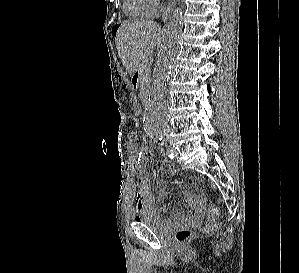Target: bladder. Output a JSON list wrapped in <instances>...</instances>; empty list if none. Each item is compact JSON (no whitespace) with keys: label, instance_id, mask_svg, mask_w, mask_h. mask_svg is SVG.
Returning <instances> with one entry per match:
<instances>
[{"label":"bladder","instance_id":"1","mask_svg":"<svg viewBox=\"0 0 299 273\" xmlns=\"http://www.w3.org/2000/svg\"><path fill=\"white\" fill-rule=\"evenodd\" d=\"M135 222L158 232H164L166 229V222L163 218L157 212L148 209L139 212Z\"/></svg>","mask_w":299,"mask_h":273}]
</instances>
